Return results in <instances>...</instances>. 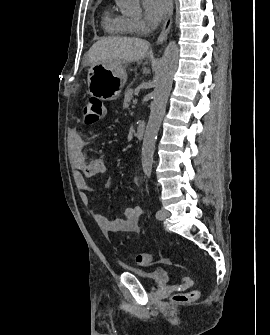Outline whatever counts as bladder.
I'll return each mask as SVG.
<instances>
[{"label": "bladder", "mask_w": 270, "mask_h": 335, "mask_svg": "<svg viewBox=\"0 0 270 335\" xmlns=\"http://www.w3.org/2000/svg\"><path fill=\"white\" fill-rule=\"evenodd\" d=\"M139 279H146L152 286L157 284L158 286L164 285L170 278V271L166 268H155L149 272H141L139 270H132Z\"/></svg>", "instance_id": "31cf9c89"}]
</instances>
